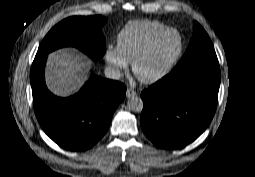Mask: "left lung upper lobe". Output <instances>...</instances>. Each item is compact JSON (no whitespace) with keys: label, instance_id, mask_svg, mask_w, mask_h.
<instances>
[{"label":"left lung upper lobe","instance_id":"obj_1","mask_svg":"<svg viewBox=\"0 0 255 177\" xmlns=\"http://www.w3.org/2000/svg\"><path fill=\"white\" fill-rule=\"evenodd\" d=\"M210 60H218L213 44L202 26L199 23L194 22L193 37L189 47L173 70H176L189 63Z\"/></svg>","mask_w":255,"mask_h":177}]
</instances>
